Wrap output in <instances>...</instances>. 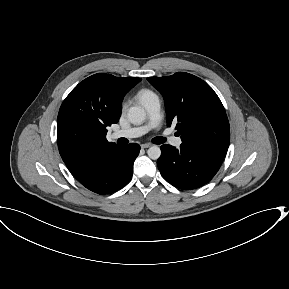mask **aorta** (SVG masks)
I'll return each mask as SVG.
<instances>
[{
    "mask_svg": "<svg viewBox=\"0 0 289 289\" xmlns=\"http://www.w3.org/2000/svg\"><path fill=\"white\" fill-rule=\"evenodd\" d=\"M128 120L134 124H142L146 119V111L140 106L130 107L128 110ZM149 158L157 160L161 156V149L158 146H152L148 149Z\"/></svg>",
    "mask_w": 289,
    "mask_h": 289,
    "instance_id": "762f6f07",
    "label": "aorta"
}]
</instances>
